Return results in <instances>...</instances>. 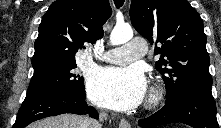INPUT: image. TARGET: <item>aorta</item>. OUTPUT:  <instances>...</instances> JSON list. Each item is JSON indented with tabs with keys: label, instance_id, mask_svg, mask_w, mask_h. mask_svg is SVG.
I'll return each mask as SVG.
<instances>
[{
	"label": "aorta",
	"instance_id": "1",
	"mask_svg": "<svg viewBox=\"0 0 221 128\" xmlns=\"http://www.w3.org/2000/svg\"><path fill=\"white\" fill-rule=\"evenodd\" d=\"M133 37V30L129 25H116L111 34L110 41L112 45H121Z\"/></svg>",
	"mask_w": 221,
	"mask_h": 128
}]
</instances>
